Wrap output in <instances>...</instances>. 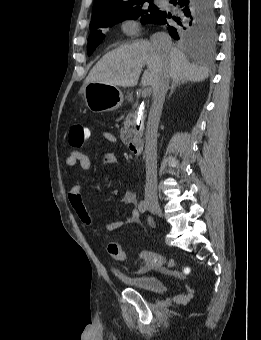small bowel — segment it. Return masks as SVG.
<instances>
[{
    "label": "small bowel",
    "mask_w": 261,
    "mask_h": 340,
    "mask_svg": "<svg viewBox=\"0 0 261 340\" xmlns=\"http://www.w3.org/2000/svg\"><path fill=\"white\" fill-rule=\"evenodd\" d=\"M87 139L91 137L90 129L86 128ZM103 140L109 143H115L116 137L108 131H103L101 134ZM103 162L107 165H113L118 162V157L114 153H105L103 156ZM66 164L68 166H76L79 165L80 168L84 171H89L91 168L90 158L82 153L79 150H72L66 159ZM68 200L78 216L79 220L85 225L92 234L99 236L100 232H112L122 228L123 226L131 225L139 222V209L135 208L137 204V199L135 194L132 191H127L123 198L122 202L127 205H131L134 208L132 209L130 215L123 220H118L110 223H106L103 225H98L93 220L90 212L88 211L86 204L84 202L82 188L80 185L75 184L71 187L68 192ZM105 239H108L109 236H104ZM148 267H143L141 270H147Z\"/></svg>",
    "instance_id": "c3829d8e"
}]
</instances>
